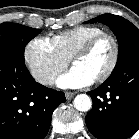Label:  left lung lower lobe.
<instances>
[{
	"instance_id": "left-lung-lower-lobe-1",
	"label": "left lung lower lobe",
	"mask_w": 139,
	"mask_h": 139,
	"mask_svg": "<svg viewBox=\"0 0 139 139\" xmlns=\"http://www.w3.org/2000/svg\"><path fill=\"white\" fill-rule=\"evenodd\" d=\"M92 110L89 131L99 139H127L139 129V54L115 68L97 89L88 92Z\"/></svg>"
}]
</instances>
